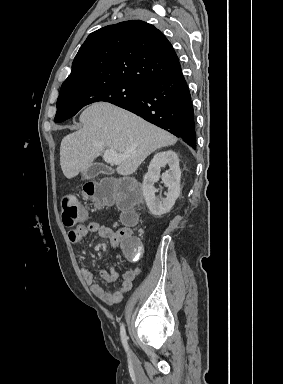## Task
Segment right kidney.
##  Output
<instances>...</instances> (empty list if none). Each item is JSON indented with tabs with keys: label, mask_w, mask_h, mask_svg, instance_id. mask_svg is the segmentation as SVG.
I'll return each mask as SVG.
<instances>
[{
	"label": "right kidney",
	"mask_w": 283,
	"mask_h": 384,
	"mask_svg": "<svg viewBox=\"0 0 283 384\" xmlns=\"http://www.w3.org/2000/svg\"><path fill=\"white\" fill-rule=\"evenodd\" d=\"M166 164H168L169 170L160 176L161 168H165ZM159 178H162L166 188H168L164 200H159V198L155 196L157 190H155L154 184L158 182ZM180 178L181 170L179 168V160L173 150L155 154L143 180V196L153 216L162 218L163 214H167V212H170L171 208H173L175 200L179 198L181 192Z\"/></svg>",
	"instance_id": "ca27d5eb"
}]
</instances>
